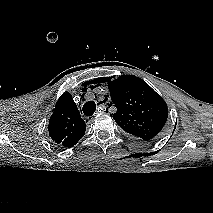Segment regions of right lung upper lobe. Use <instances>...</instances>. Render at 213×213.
<instances>
[{"mask_svg":"<svg viewBox=\"0 0 213 213\" xmlns=\"http://www.w3.org/2000/svg\"><path fill=\"white\" fill-rule=\"evenodd\" d=\"M52 112L49 136L59 146H74L84 136L86 124L72 96L68 92L62 94Z\"/></svg>","mask_w":213,"mask_h":213,"instance_id":"right-lung-upper-lobe-1","label":"right lung upper lobe"}]
</instances>
